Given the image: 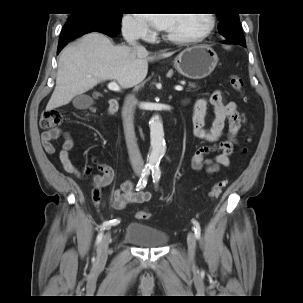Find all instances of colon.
<instances>
[{
    "label": "colon",
    "mask_w": 303,
    "mask_h": 303,
    "mask_svg": "<svg viewBox=\"0 0 303 303\" xmlns=\"http://www.w3.org/2000/svg\"><path fill=\"white\" fill-rule=\"evenodd\" d=\"M229 82L234 90L239 92L243 98V90L245 87L244 80L237 74H231L229 77ZM63 121L62 113L59 110H46L41 117L40 124L43 128L51 129L58 127ZM226 182L224 180L218 181L214 184L209 192V197L211 199H216L220 196ZM95 199H98V193L95 192ZM151 217V213L147 210H140L136 213V218L138 220H148Z\"/></svg>",
    "instance_id": "obj_1"
}]
</instances>
